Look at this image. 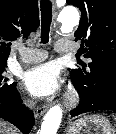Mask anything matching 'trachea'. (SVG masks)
Returning a JSON list of instances; mask_svg holds the SVG:
<instances>
[{"instance_id": "obj_1", "label": "trachea", "mask_w": 116, "mask_h": 134, "mask_svg": "<svg viewBox=\"0 0 116 134\" xmlns=\"http://www.w3.org/2000/svg\"><path fill=\"white\" fill-rule=\"evenodd\" d=\"M41 43L49 41V32L52 22V3L48 0L41 1Z\"/></svg>"}]
</instances>
